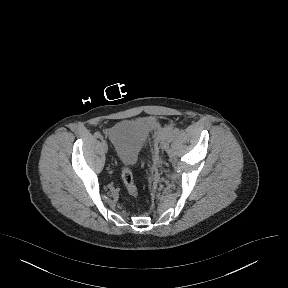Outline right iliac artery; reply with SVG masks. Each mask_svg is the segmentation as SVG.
<instances>
[{
  "label": "right iliac artery",
  "mask_w": 288,
  "mask_h": 288,
  "mask_svg": "<svg viewBox=\"0 0 288 288\" xmlns=\"http://www.w3.org/2000/svg\"><path fill=\"white\" fill-rule=\"evenodd\" d=\"M94 137L95 138H102L101 134L99 132H95L94 133Z\"/></svg>",
  "instance_id": "right-iliac-artery-1"
}]
</instances>
